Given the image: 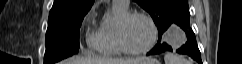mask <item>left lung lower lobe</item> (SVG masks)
<instances>
[{
	"mask_svg": "<svg viewBox=\"0 0 242 64\" xmlns=\"http://www.w3.org/2000/svg\"><path fill=\"white\" fill-rule=\"evenodd\" d=\"M189 20L190 18L186 17L177 23V25L186 32L188 41L184 45H182L179 49H177L176 52L179 54L189 55L191 58L197 61L198 64H202L201 53L197 46L195 34L193 30L190 28ZM165 51H172L171 46H169L164 42H160V43H157V45L150 52H148L147 55L160 54Z\"/></svg>",
	"mask_w": 242,
	"mask_h": 64,
	"instance_id": "obj_1",
	"label": "left lung lower lobe"
}]
</instances>
